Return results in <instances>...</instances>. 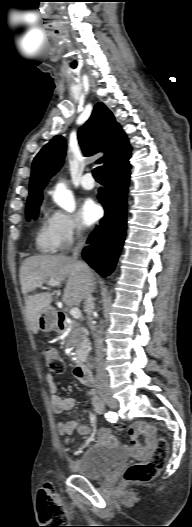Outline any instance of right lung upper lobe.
Instances as JSON below:
<instances>
[{
	"label": "right lung upper lobe",
	"mask_w": 192,
	"mask_h": 527,
	"mask_svg": "<svg viewBox=\"0 0 192 527\" xmlns=\"http://www.w3.org/2000/svg\"><path fill=\"white\" fill-rule=\"evenodd\" d=\"M78 139L87 156L98 152L105 153L104 157L97 161L104 163L105 171L131 151L122 128L101 102L94 107L90 119L79 129ZM65 153V139L62 136H55L37 154L32 164L27 205L41 201L42 189L62 166Z\"/></svg>",
	"instance_id": "right-lung-upper-lobe-1"
}]
</instances>
